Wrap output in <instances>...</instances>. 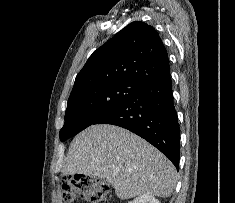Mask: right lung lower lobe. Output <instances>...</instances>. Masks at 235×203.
Masks as SVG:
<instances>
[{
  "label": "right lung lower lobe",
  "mask_w": 235,
  "mask_h": 203,
  "mask_svg": "<svg viewBox=\"0 0 235 203\" xmlns=\"http://www.w3.org/2000/svg\"><path fill=\"white\" fill-rule=\"evenodd\" d=\"M94 124L117 125L139 135L165 154L178 170L180 130L170 72L143 84Z\"/></svg>",
  "instance_id": "98d812e1"
}]
</instances>
